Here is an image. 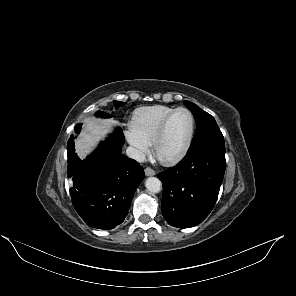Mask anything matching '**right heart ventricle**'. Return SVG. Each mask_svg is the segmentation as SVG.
Returning <instances> with one entry per match:
<instances>
[{"label": "right heart ventricle", "instance_id": "right-heart-ventricle-1", "mask_svg": "<svg viewBox=\"0 0 296 296\" xmlns=\"http://www.w3.org/2000/svg\"><path fill=\"white\" fill-rule=\"evenodd\" d=\"M174 109L164 105L139 108L133 113L131 130L146 144L151 145L162 121Z\"/></svg>", "mask_w": 296, "mask_h": 296}]
</instances>
